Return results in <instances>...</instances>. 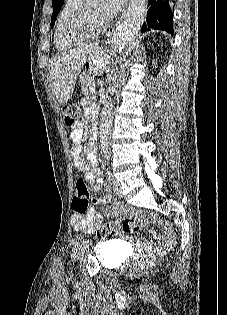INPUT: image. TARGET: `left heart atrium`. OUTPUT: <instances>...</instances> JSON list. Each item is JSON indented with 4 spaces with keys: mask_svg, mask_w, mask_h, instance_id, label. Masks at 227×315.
Segmentation results:
<instances>
[{
    "mask_svg": "<svg viewBox=\"0 0 227 315\" xmlns=\"http://www.w3.org/2000/svg\"><path fill=\"white\" fill-rule=\"evenodd\" d=\"M127 0H100V13L105 23L113 18L124 8Z\"/></svg>",
    "mask_w": 227,
    "mask_h": 315,
    "instance_id": "1",
    "label": "left heart atrium"
}]
</instances>
